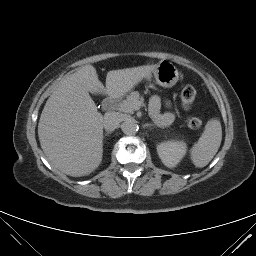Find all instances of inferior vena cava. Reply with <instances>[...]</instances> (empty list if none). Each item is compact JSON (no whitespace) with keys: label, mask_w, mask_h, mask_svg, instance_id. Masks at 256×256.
<instances>
[{"label":"inferior vena cava","mask_w":256,"mask_h":256,"mask_svg":"<svg viewBox=\"0 0 256 256\" xmlns=\"http://www.w3.org/2000/svg\"><path fill=\"white\" fill-rule=\"evenodd\" d=\"M121 122L120 115L116 112H108L104 115L103 127L107 132L114 131Z\"/></svg>","instance_id":"1"}]
</instances>
